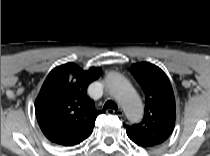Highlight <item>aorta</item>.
<instances>
[{
    "instance_id": "aorta-1",
    "label": "aorta",
    "mask_w": 210,
    "mask_h": 156,
    "mask_svg": "<svg viewBox=\"0 0 210 156\" xmlns=\"http://www.w3.org/2000/svg\"><path fill=\"white\" fill-rule=\"evenodd\" d=\"M109 89L123 107L126 116L134 122L143 116V105L135 89L124 77L112 74L108 78Z\"/></svg>"
}]
</instances>
